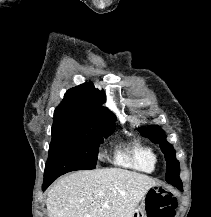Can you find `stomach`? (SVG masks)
Wrapping results in <instances>:
<instances>
[{
	"mask_svg": "<svg viewBox=\"0 0 211 217\" xmlns=\"http://www.w3.org/2000/svg\"><path fill=\"white\" fill-rule=\"evenodd\" d=\"M145 207H146L145 201H142L141 204L136 208L132 217H147Z\"/></svg>",
	"mask_w": 211,
	"mask_h": 217,
	"instance_id": "1",
	"label": "stomach"
}]
</instances>
